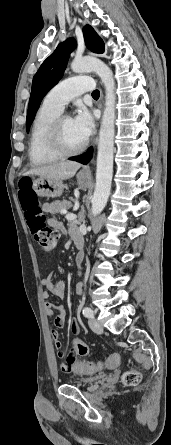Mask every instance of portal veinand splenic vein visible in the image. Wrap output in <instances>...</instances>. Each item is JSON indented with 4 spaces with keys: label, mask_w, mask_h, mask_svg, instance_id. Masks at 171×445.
Returning <instances> with one entry per match:
<instances>
[{
    "label": "portal vein and splenic vein",
    "mask_w": 171,
    "mask_h": 445,
    "mask_svg": "<svg viewBox=\"0 0 171 445\" xmlns=\"http://www.w3.org/2000/svg\"><path fill=\"white\" fill-rule=\"evenodd\" d=\"M62 213L66 214V219L69 221L75 220L77 218V216L73 213H67L66 210H61Z\"/></svg>",
    "instance_id": "obj_1"
}]
</instances>
